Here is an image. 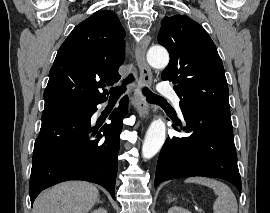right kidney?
<instances>
[{"mask_svg": "<svg viewBox=\"0 0 270 213\" xmlns=\"http://www.w3.org/2000/svg\"><path fill=\"white\" fill-rule=\"evenodd\" d=\"M91 213H107V210L104 208H98L96 210H93Z\"/></svg>", "mask_w": 270, "mask_h": 213, "instance_id": "1", "label": "right kidney"}]
</instances>
